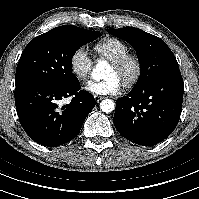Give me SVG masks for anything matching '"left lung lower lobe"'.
I'll list each match as a JSON object with an SVG mask.
<instances>
[{"label":"left lung lower lobe","instance_id":"0a47b994","mask_svg":"<svg viewBox=\"0 0 199 199\" xmlns=\"http://www.w3.org/2000/svg\"><path fill=\"white\" fill-rule=\"evenodd\" d=\"M184 84L179 70L159 76L117 99L114 125L129 141L152 146L166 139L178 124Z\"/></svg>","mask_w":199,"mask_h":199}]
</instances>
